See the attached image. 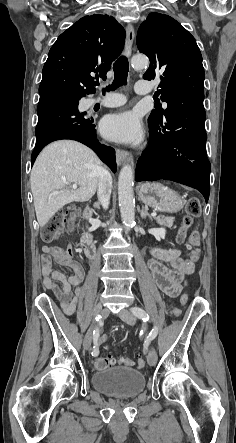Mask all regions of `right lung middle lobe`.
<instances>
[{
    "instance_id": "obj_1",
    "label": "right lung middle lobe",
    "mask_w": 236,
    "mask_h": 443,
    "mask_svg": "<svg viewBox=\"0 0 236 443\" xmlns=\"http://www.w3.org/2000/svg\"><path fill=\"white\" fill-rule=\"evenodd\" d=\"M71 97L78 99V100H80L82 98V96H71Z\"/></svg>"
}]
</instances>
